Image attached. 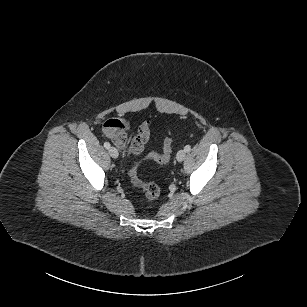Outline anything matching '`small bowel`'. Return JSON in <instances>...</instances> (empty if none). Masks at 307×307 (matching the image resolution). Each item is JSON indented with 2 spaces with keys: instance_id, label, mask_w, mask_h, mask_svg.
I'll list each match as a JSON object with an SVG mask.
<instances>
[{
  "instance_id": "small-bowel-1",
  "label": "small bowel",
  "mask_w": 307,
  "mask_h": 307,
  "mask_svg": "<svg viewBox=\"0 0 307 307\" xmlns=\"http://www.w3.org/2000/svg\"><path fill=\"white\" fill-rule=\"evenodd\" d=\"M150 128L149 122L142 123L137 135L128 144L127 132L131 129L130 122L124 118H110L103 124V133L119 149L130 155H140L149 139Z\"/></svg>"
}]
</instances>
